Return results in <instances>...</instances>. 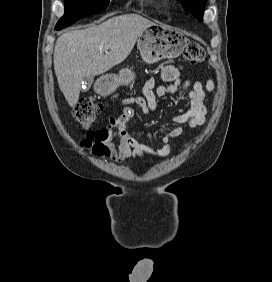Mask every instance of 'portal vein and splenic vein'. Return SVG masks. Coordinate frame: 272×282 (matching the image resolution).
I'll return each instance as SVG.
<instances>
[{"label": "portal vein and splenic vein", "mask_w": 272, "mask_h": 282, "mask_svg": "<svg viewBox=\"0 0 272 282\" xmlns=\"http://www.w3.org/2000/svg\"><path fill=\"white\" fill-rule=\"evenodd\" d=\"M109 48H110V46H109V45H105V46L103 47V49H104L105 51H108V50H109Z\"/></svg>", "instance_id": "portal-vein-and-splenic-vein-1"}]
</instances>
